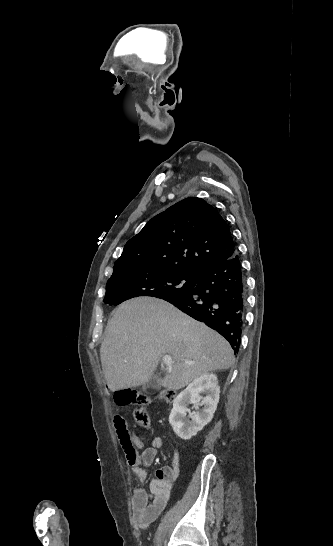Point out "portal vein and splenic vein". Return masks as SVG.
<instances>
[{
    "mask_svg": "<svg viewBox=\"0 0 333 546\" xmlns=\"http://www.w3.org/2000/svg\"><path fill=\"white\" fill-rule=\"evenodd\" d=\"M163 362L165 365L167 366H171L172 365V357L170 355H164L163 356ZM188 364H191V362H186Z\"/></svg>",
    "mask_w": 333,
    "mask_h": 546,
    "instance_id": "portal-vein-and-splenic-vein-1",
    "label": "portal vein and splenic vein"
}]
</instances>
